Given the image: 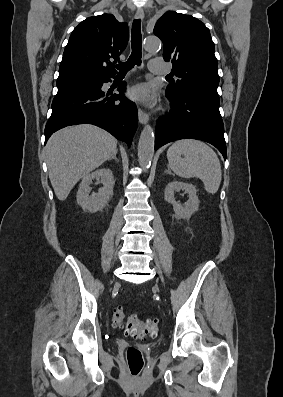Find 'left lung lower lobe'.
<instances>
[{
    "mask_svg": "<svg viewBox=\"0 0 283 397\" xmlns=\"http://www.w3.org/2000/svg\"><path fill=\"white\" fill-rule=\"evenodd\" d=\"M172 111L157 121L155 150L179 139H199L214 145L226 159L224 125L219 100L197 93L166 91Z\"/></svg>",
    "mask_w": 283,
    "mask_h": 397,
    "instance_id": "left-lung-lower-lobe-1",
    "label": "left lung lower lobe"
}]
</instances>
